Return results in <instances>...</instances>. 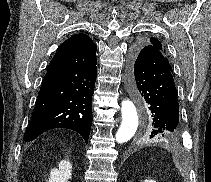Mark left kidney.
<instances>
[{
	"mask_svg": "<svg viewBox=\"0 0 211 182\" xmlns=\"http://www.w3.org/2000/svg\"><path fill=\"white\" fill-rule=\"evenodd\" d=\"M143 182H156V181H154L152 179H145Z\"/></svg>",
	"mask_w": 211,
	"mask_h": 182,
	"instance_id": "obj_1",
	"label": "left kidney"
}]
</instances>
